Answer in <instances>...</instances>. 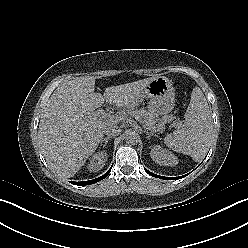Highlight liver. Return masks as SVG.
<instances>
[{"label": "liver", "mask_w": 248, "mask_h": 248, "mask_svg": "<svg viewBox=\"0 0 248 248\" xmlns=\"http://www.w3.org/2000/svg\"><path fill=\"white\" fill-rule=\"evenodd\" d=\"M154 77L107 87L94 92V77H76L62 83L43 108L38 135L46 161L60 176L70 178L97 149L108 124L123 117L105 119L95 110L106 101L117 108L131 107Z\"/></svg>", "instance_id": "liver-1"}]
</instances>
